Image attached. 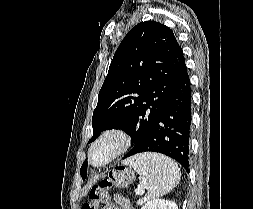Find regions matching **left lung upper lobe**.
<instances>
[{
  "label": "left lung upper lobe",
  "mask_w": 253,
  "mask_h": 209,
  "mask_svg": "<svg viewBox=\"0 0 253 209\" xmlns=\"http://www.w3.org/2000/svg\"><path fill=\"white\" fill-rule=\"evenodd\" d=\"M185 64L172 30L155 21L133 27L117 48L93 112V142L102 131L122 129L135 153L145 142ZM87 162L80 173L86 178Z\"/></svg>",
  "instance_id": "left-lung-upper-lobe-1"
}]
</instances>
